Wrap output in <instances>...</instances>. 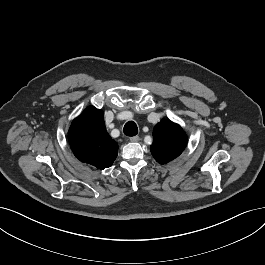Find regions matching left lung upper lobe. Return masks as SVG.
<instances>
[{"label": "left lung upper lobe", "instance_id": "obj_1", "mask_svg": "<svg viewBox=\"0 0 265 265\" xmlns=\"http://www.w3.org/2000/svg\"><path fill=\"white\" fill-rule=\"evenodd\" d=\"M187 144V136L182 128L172 121L163 119L153 130L151 153L160 164L178 157Z\"/></svg>", "mask_w": 265, "mask_h": 265}]
</instances>
